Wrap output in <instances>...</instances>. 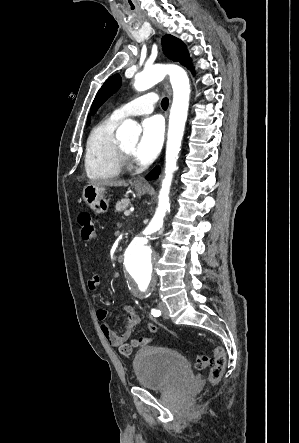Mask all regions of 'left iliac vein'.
<instances>
[{
	"instance_id": "obj_1",
	"label": "left iliac vein",
	"mask_w": 299,
	"mask_h": 443,
	"mask_svg": "<svg viewBox=\"0 0 299 443\" xmlns=\"http://www.w3.org/2000/svg\"><path fill=\"white\" fill-rule=\"evenodd\" d=\"M159 309L161 310L162 316L164 318H166V319L169 318V311H168V308L164 302L159 303Z\"/></svg>"
}]
</instances>
